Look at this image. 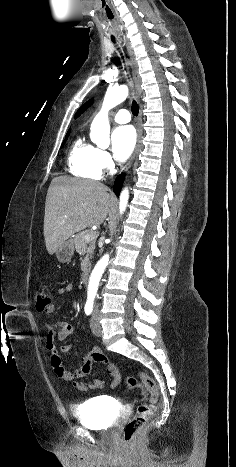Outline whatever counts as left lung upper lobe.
<instances>
[{
    "label": "left lung upper lobe",
    "instance_id": "left-lung-upper-lobe-1",
    "mask_svg": "<svg viewBox=\"0 0 236 467\" xmlns=\"http://www.w3.org/2000/svg\"><path fill=\"white\" fill-rule=\"evenodd\" d=\"M92 102H93V100H89V101L86 102L84 105H82V106L78 109V111H77V113H76V118H77L78 116H80V115L92 104Z\"/></svg>",
    "mask_w": 236,
    "mask_h": 467
}]
</instances>
